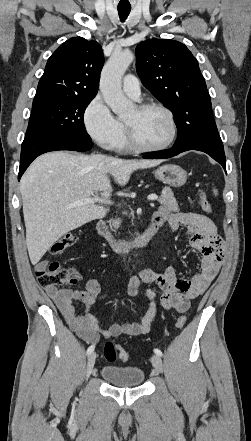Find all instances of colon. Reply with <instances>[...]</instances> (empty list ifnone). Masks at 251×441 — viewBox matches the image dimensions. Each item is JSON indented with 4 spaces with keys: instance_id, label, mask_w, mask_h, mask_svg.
<instances>
[{
    "instance_id": "5ec220e1",
    "label": "colon",
    "mask_w": 251,
    "mask_h": 441,
    "mask_svg": "<svg viewBox=\"0 0 251 441\" xmlns=\"http://www.w3.org/2000/svg\"><path fill=\"white\" fill-rule=\"evenodd\" d=\"M199 199L202 210L208 214L212 213V205L204 192H200ZM75 242L76 235L71 232L66 233L52 245L51 252L53 254L61 253L70 248ZM36 277L38 283L43 287L58 286L77 282L78 273L75 269L62 267L58 262H51L48 266L38 268L36 270ZM186 322V316H179L176 321V326L182 328ZM103 352L109 362H114L117 358L122 361L129 360V354L112 341L105 343Z\"/></svg>"
}]
</instances>
